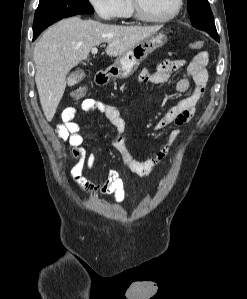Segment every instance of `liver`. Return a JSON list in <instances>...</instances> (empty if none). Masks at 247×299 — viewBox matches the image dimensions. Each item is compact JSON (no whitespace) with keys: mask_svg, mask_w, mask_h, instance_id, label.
<instances>
[{"mask_svg":"<svg viewBox=\"0 0 247 299\" xmlns=\"http://www.w3.org/2000/svg\"><path fill=\"white\" fill-rule=\"evenodd\" d=\"M161 27L110 25L80 17L63 19L49 27L33 53L35 83L47 121L53 119L62 99L67 74L88 57L92 48L107 43L108 56H121Z\"/></svg>","mask_w":247,"mask_h":299,"instance_id":"6515ba94","label":"liver"}]
</instances>
